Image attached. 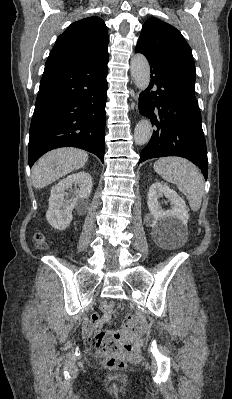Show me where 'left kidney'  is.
<instances>
[{"instance_id": "1", "label": "left kidney", "mask_w": 232, "mask_h": 399, "mask_svg": "<svg viewBox=\"0 0 232 399\" xmlns=\"http://www.w3.org/2000/svg\"><path fill=\"white\" fill-rule=\"evenodd\" d=\"M168 198L171 209H162L159 198ZM148 207L153 215L151 235L158 245L183 243L188 237L187 223L189 219L186 203L174 190L164 182H155L149 188Z\"/></svg>"}]
</instances>
